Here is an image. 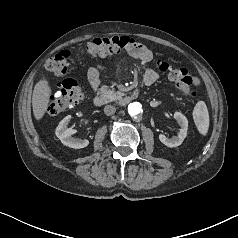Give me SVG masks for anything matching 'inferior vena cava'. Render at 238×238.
<instances>
[{"label": "inferior vena cava", "instance_id": "1", "mask_svg": "<svg viewBox=\"0 0 238 238\" xmlns=\"http://www.w3.org/2000/svg\"><path fill=\"white\" fill-rule=\"evenodd\" d=\"M116 112V108L112 105H106L104 107V113L107 115V116H111L113 115L114 113Z\"/></svg>", "mask_w": 238, "mask_h": 238}]
</instances>
